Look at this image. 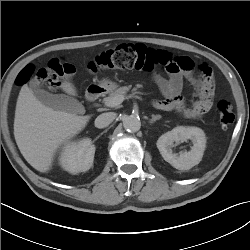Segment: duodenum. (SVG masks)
Returning a JSON list of instances; mask_svg holds the SVG:
<instances>
[{
	"mask_svg": "<svg viewBox=\"0 0 250 250\" xmlns=\"http://www.w3.org/2000/svg\"><path fill=\"white\" fill-rule=\"evenodd\" d=\"M104 90L101 86L92 85L86 92V101L89 104L94 103L103 94ZM154 106L158 108V103L155 102Z\"/></svg>",
	"mask_w": 250,
	"mask_h": 250,
	"instance_id": "1",
	"label": "duodenum"
}]
</instances>
